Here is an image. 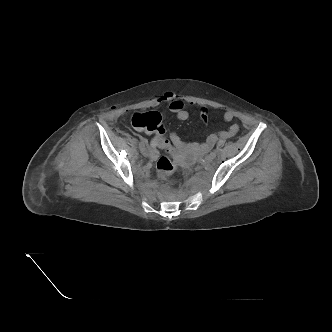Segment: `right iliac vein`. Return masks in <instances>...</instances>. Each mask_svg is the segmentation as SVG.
Listing matches in <instances>:
<instances>
[{
	"label": "right iliac vein",
	"mask_w": 332,
	"mask_h": 332,
	"mask_svg": "<svg viewBox=\"0 0 332 332\" xmlns=\"http://www.w3.org/2000/svg\"><path fill=\"white\" fill-rule=\"evenodd\" d=\"M139 150L143 153L145 152L146 148L145 145L143 143H139Z\"/></svg>",
	"instance_id": "1"
}]
</instances>
